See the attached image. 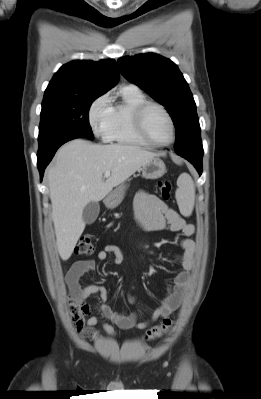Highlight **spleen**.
Listing matches in <instances>:
<instances>
[{
  "label": "spleen",
  "instance_id": "3e777b00",
  "mask_svg": "<svg viewBox=\"0 0 261 399\" xmlns=\"http://www.w3.org/2000/svg\"><path fill=\"white\" fill-rule=\"evenodd\" d=\"M176 200L183 216L192 214L195 203V186L192 178L183 173L177 180Z\"/></svg>",
  "mask_w": 261,
  "mask_h": 399
}]
</instances>
